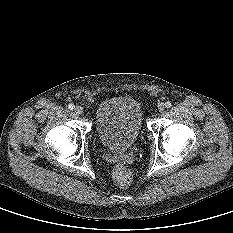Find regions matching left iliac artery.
Masks as SVG:
<instances>
[{
    "mask_svg": "<svg viewBox=\"0 0 233 233\" xmlns=\"http://www.w3.org/2000/svg\"><path fill=\"white\" fill-rule=\"evenodd\" d=\"M171 106H172L171 102L168 101V102L165 103L166 108H170Z\"/></svg>",
    "mask_w": 233,
    "mask_h": 233,
    "instance_id": "1",
    "label": "left iliac artery"
}]
</instances>
